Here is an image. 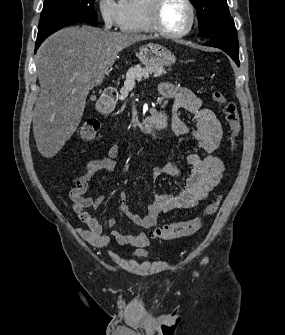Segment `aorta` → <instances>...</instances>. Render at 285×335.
Masks as SVG:
<instances>
[{
  "label": "aorta",
  "instance_id": "aorta-1",
  "mask_svg": "<svg viewBox=\"0 0 285 335\" xmlns=\"http://www.w3.org/2000/svg\"><path fill=\"white\" fill-rule=\"evenodd\" d=\"M148 133L149 134H162L163 128L162 127H149Z\"/></svg>",
  "mask_w": 285,
  "mask_h": 335
}]
</instances>
